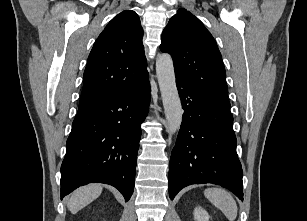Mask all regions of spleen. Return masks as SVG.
I'll return each mask as SVG.
<instances>
[{"instance_id":"obj_1","label":"spleen","mask_w":307,"mask_h":221,"mask_svg":"<svg viewBox=\"0 0 307 221\" xmlns=\"http://www.w3.org/2000/svg\"><path fill=\"white\" fill-rule=\"evenodd\" d=\"M205 197L220 209L229 221L237 217V204L232 195L222 188H208L204 191Z\"/></svg>"}]
</instances>
